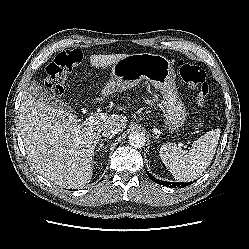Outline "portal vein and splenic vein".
<instances>
[{
	"label": "portal vein and splenic vein",
	"instance_id": "portal-vein-and-splenic-vein-1",
	"mask_svg": "<svg viewBox=\"0 0 249 249\" xmlns=\"http://www.w3.org/2000/svg\"><path fill=\"white\" fill-rule=\"evenodd\" d=\"M105 114L104 113H96L94 115H91L90 117L86 118L84 120V124H98L99 122L105 120Z\"/></svg>",
	"mask_w": 249,
	"mask_h": 249
}]
</instances>
